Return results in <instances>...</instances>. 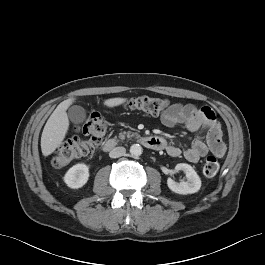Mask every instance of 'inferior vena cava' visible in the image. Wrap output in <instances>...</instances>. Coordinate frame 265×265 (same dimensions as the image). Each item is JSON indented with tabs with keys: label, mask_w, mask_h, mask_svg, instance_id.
<instances>
[{
	"label": "inferior vena cava",
	"mask_w": 265,
	"mask_h": 265,
	"mask_svg": "<svg viewBox=\"0 0 265 265\" xmlns=\"http://www.w3.org/2000/svg\"><path fill=\"white\" fill-rule=\"evenodd\" d=\"M126 149L124 147H115L109 152L111 158H118L125 155Z\"/></svg>",
	"instance_id": "obj_1"
}]
</instances>
